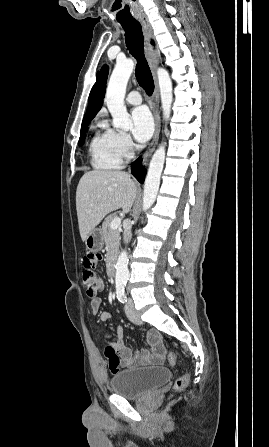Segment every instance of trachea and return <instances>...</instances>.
I'll return each mask as SVG.
<instances>
[{
	"instance_id": "trachea-1",
	"label": "trachea",
	"mask_w": 269,
	"mask_h": 447,
	"mask_svg": "<svg viewBox=\"0 0 269 447\" xmlns=\"http://www.w3.org/2000/svg\"><path fill=\"white\" fill-rule=\"evenodd\" d=\"M125 31L126 46L129 52L137 60L135 75L137 82L147 95H152L154 91V80L144 56V37L142 28L137 20L131 22H119Z\"/></svg>"
}]
</instances>
